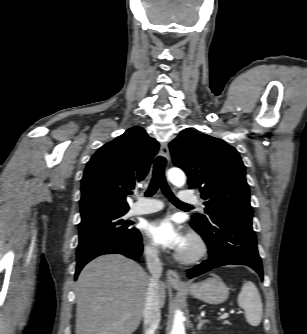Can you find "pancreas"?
Instances as JSON below:
<instances>
[{
	"instance_id": "cf45deb5",
	"label": "pancreas",
	"mask_w": 307,
	"mask_h": 334,
	"mask_svg": "<svg viewBox=\"0 0 307 334\" xmlns=\"http://www.w3.org/2000/svg\"><path fill=\"white\" fill-rule=\"evenodd\" d=\"M224 324H230V322L229 321H224Z\"/></svg>"
}]
</instances>
